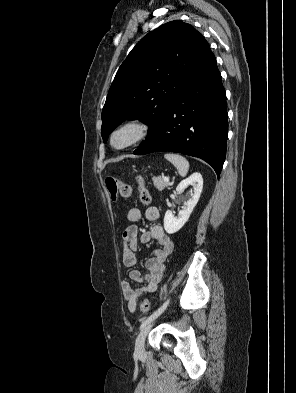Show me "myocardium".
I'll return each instance as SVG.
<instances>
[{"instance_id": "myocardium-1", "label": "myocardium", "mask_w": 296, "mask_h": 393, "mask_svg": "<svg viewBox=\"0 0 296 393\" xmlns=\"http://www.w3.org/2000/svg\"><path fill=\"white\" fill-rule=\"evenodd\" d=\"M124 129L132 130L133 136L126 144L116 146L114 144V136ZM150 131L151 125L148 120L142 116H132L121 121L112 129L109 135V143L116 150H125L145 140L149 136Z\"/></svg>"}]
</instances>
